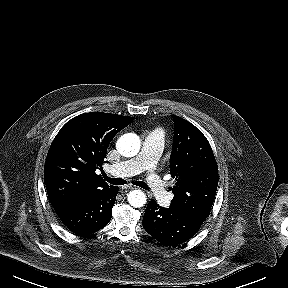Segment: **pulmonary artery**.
I'll list each match as a JSON object with an SVG mask.
<instances>
[{"label":"pulmonary artery","mask_w":288,"mask_h":288,"mask_svg":"<svg viewBox=\"0 0 288 288\" xmlns=\"http://www.w3.org/2000/svg\"><path fill=\"white\" fill-rule=\"evenodd\" d=\"M164 133L156 129L147 134L140 153L133 159L115 163L111 166V173L117 176H133L146 171L147 185L153 192L157 202L168 205L172 195L166 187L165 181L156 171L157 162L164 148Z\"/></svg>","instance_id":"pulmonary-artery-1"}]
</instances>
